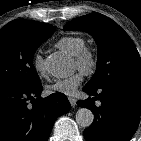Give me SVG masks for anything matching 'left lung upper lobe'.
Listing matches in <instances>:
<instances>
[{"label":"left lung upper lobe","mask_w":141,"mask_h":141,"mask_svg":"<svg viewBox=\"0 0 141 141\" xmlns=\"http://www.w3.org/2000/svg\"><path fill=\"white\" fill-rule=\"evenodd\" d=\"M64 29L88 32L98 45L96 72L86 87L98 89L119 82L141 84L139 53L116 22L102 14L90 13L68 22Z\"/></svg>","instance_id":"5c2ea615"}]
</instances>
